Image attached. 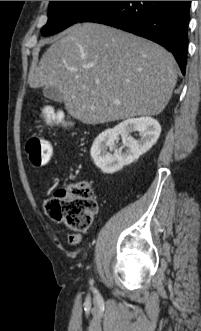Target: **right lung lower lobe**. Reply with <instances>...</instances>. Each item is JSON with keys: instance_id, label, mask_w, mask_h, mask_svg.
<instances>
[{"instance_id": "98d812e1", "label": "right lung lower lobe", "mask_w": 201, "mask_h": 331, "mask_svg": "<svg viewBox=\"0 0 201 331\" xmlns=\"http://www.w3.org/2000/svg\"><path fill=\"white\" fill-rule=\"evenodd\" d=\"M190 1H106L79 22H95L150 39L171 51L183 74Z\"/></svg>"}]
</instances>
